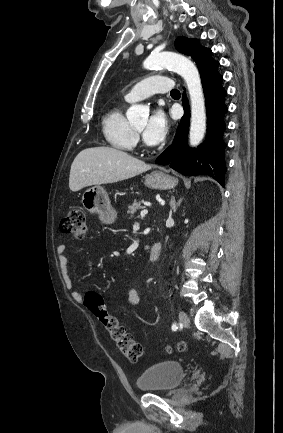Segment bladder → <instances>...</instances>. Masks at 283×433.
<instances>
[{"instance_id": "31cf9c89", "label": "bladder", "mask_w": 283, "mask_h": 433, "mask_svg": "<svg viewBox=\"0 0 283 433\" xmlns=\"http://www.w3.org/2000/svg\"><path fill=\"white\" fill-rule=\"evenodd\" d=\"M184 379L183 365L174 360L154 363L137 378V386L147 391H168Z\"/></svg>"}]
</instances>
